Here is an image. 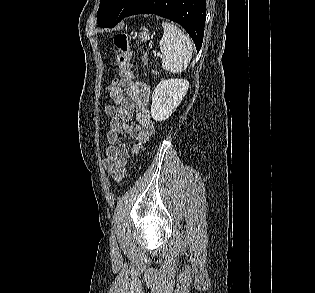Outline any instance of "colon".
Segmentation results:
<instances>
[{"label": "colon", "instance_id": "colon-1", "mask_svg": "<svg viewBox=\"0 0 315 293\" xmlns=\"http://www.w3.org/2000/svg\"><path fill=\"white\" fill-rule=\"evenodd\" d=\"M114 44L119 51V55L117 58V63L119 67V73L122 78L132 79V65H131V48H130V37L126 32L118 33L114 37ZM140 59L145 61L147 59L146 53L144 49H141L139 53ZM111 85L106 88L107 94H112L113 92L118 91V86L122 83L120 78H111ZM125 167L121 168L117 172H115L113 176V180L115 183H120L125 176Z\"/></svg>", "mask_w": 315, "mask_h": 293}]
</instances>
